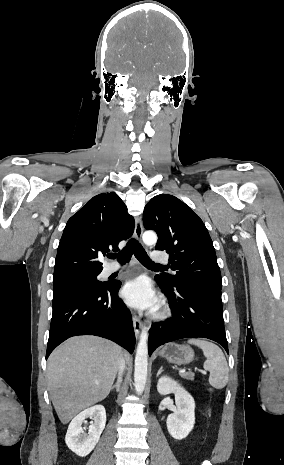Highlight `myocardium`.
Here are the masks:
<instances>
[{
    "label": "myocardium",
    "mask_w": 284,
    "mask_h": 465,
    "mask_svg": "<svg viewBox=\"0 0 284 465\" xmlns=\"http://www.w3.org/2000/svg\"><path fill=\"white\" fill-rule=\"evenodd\" d=\"M170 316V311L167 306H162L155 314V318L158 320H164Z\"/></svg>",
    "instance_id": "1"
}]
</instances>
